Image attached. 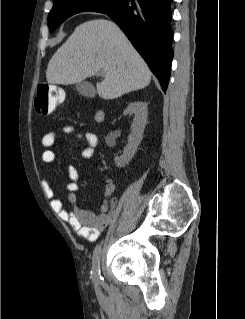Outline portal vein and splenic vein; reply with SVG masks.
I'll list each match as a JSON object with an SVG mask.
<instances>
[{"instance_id": "obj_1", "label": "portal vein and splenic vein", "mask_w": 245, "mask_h": 319, "mask_svg": "<svg viewBox=\"0 0 245 319\" xmlns=\"http://www.w3.org/2000/svg\"><path fill=\"white\" fill-rule=\"evenodd\" d=\"M98 74H99V75H103V74H104V71L100 70V71L98 72Z\"/></svg>"}]
</instances>
